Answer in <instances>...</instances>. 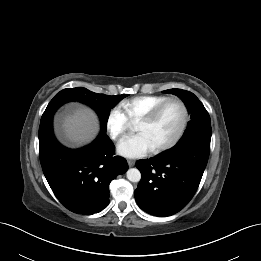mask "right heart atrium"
<instances>
[{
	"instance_id": "d8ad5b80",
	"label": "right heart atrium",
	"mask_w": 261,
	"mask_h": 261,
	"mask_svg": "<svg viewBox=\"0 0 261 261\" xmlns=\"http://www.w3.org/2000/svg\"><path fill=\"white\" fill-rule=\"evenodd\" d=\"M106 128L110 137L117 140L130 128V122L119 107H114L107 114Z\"/></svg>"
}]
</instances>
